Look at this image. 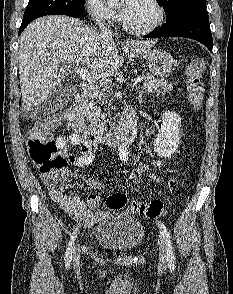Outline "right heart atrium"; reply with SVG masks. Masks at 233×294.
Segmentation results:
<instances>
[{"label":"right heart atrium","instance_id":"1","mask_svg":"<svg viewBox=\"0 0 233 294\" xmlns=\"http://www.w3.org/2000/svg\"><path fill=\"white\" fill-rule=\"evenodd\" d=\"M85 8L91 19L98 24H113L117 13L104 0H85Z\"/></svg>","mask_w":233,"mask_h":294}]
</instances>
